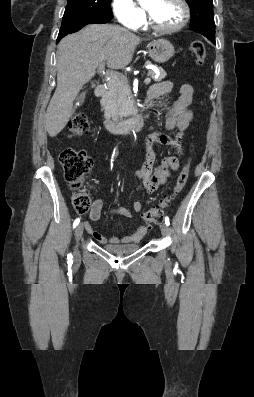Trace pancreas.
<instances>
[{"label": "pancreas", "instance_id": "cf45deb5", "mask_svg": "<svg viewBox=\"0 0 254 397\" xmlns=\"http://www.w3.org/2000/svg\"><path fill=\"white\" fill-rule=\"evenodd\" d=\"M159 74L156 77L154 71H149L150 76L154 81H161L166 77V72L161 67L158 68ZM129 83L125 76L119 80H113L108 85V91L101 99V105L105 110V115L112 119L121 118L124 115L126 105H131Z\"/></svg>", "mask_w": 254, "mask_h": 397}]
</instances>
